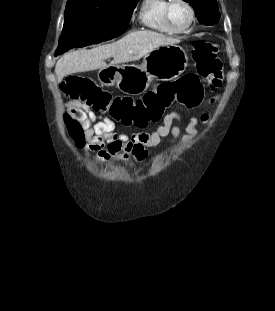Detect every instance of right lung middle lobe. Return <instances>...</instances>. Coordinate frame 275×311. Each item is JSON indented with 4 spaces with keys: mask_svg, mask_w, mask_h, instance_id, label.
<instances>
[{
    "mask_svg": "<svg viewBox=\"0 0 275 311\" xmlns=\"http://www.w3.org/2000/svg\"><path fill=\"white\" fill-rule=\"evenodd\" d=\"M139 0L68 1L64 27L55 55L111 38L126 28ZM120 27V28H119Z\"/></svg>",
    "mask_w": 275,
    "mask_h": 311,
    "instance_id": "dd1d6c3e",
    "label": "right lung middle lobe"
}]
</instances>
